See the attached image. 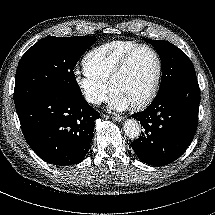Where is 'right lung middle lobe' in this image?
Masks as SVG:
<instances>
[{"label":"right lung middle lobe","instance_id":"obj_1","mask_svg":"<svg viewBox=\"0 0 215 215\" xmlns=\"http://www.w3.org/2000/svg\"><path fill=\"white\" fill-rule=\"evenodd\" d=\"M96 41L95 36H50L39 40L18 63L15 104L45 92L82 96L73 70L79 58Z\"/></svg>","mask_w":215,"mask_h":215}]
</instances>
